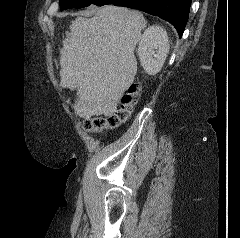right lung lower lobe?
Returning <instances> with one entry per match:
<instances>
[{
    "label": "right lung lower lobe",
    "instance_id": "98d812e1",
    "mask_svg": "<svg viewBox=\"0 0 240 238\" xmlns=\"http://www.w3.org/2000/svg\"><path fill=\"white\" fill-rule=\"evenodd\" d=\"M106 4L138 9L158 16L170 22L181 37L188 21L191 0H111Z\"/></svg>",
    "mask_w": 240,
    "mask_h": 238
}]
</instances>
